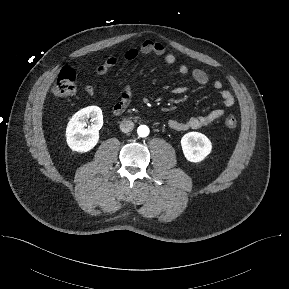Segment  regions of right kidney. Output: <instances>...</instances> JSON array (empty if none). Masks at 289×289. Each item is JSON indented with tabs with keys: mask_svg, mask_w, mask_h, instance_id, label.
<instances>
[{
	"mask_svg": "<svg viewBox=\"0 0 289 289\" xmlns=\"http://www.w3.org/2000/svg\"><path fill=\"white\" fill-rule=\"evenodd\" d=\"M90 119L91 126L86 128ZM103 126L102 110L97 106L81 109L73 115L66 128L68 146L76 152H88L99 141V130Z\"/></svg>",
	"mask_w": 289,
	"mask_h": 289,
	"instance_id": "1",
	"label": "right kidney"
}]
</instances>
